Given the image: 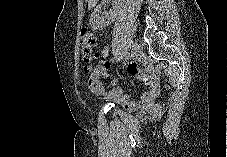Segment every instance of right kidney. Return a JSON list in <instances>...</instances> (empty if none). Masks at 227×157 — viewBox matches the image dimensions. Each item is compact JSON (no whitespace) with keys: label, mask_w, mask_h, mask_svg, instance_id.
Instances as JSON below:
<instances>
[{"label":"right kidney","mask_w":227,"mask_h":157,"mask_svg":"<svg viewBox=\"0 0 227 157\" xmlns=\"http://www.w3.org/2000/svg\"><path fill=\"white\" fill-rule=\"evenodd\" d=\"M99 12H100V9L99 8H96L95 11H94L95 14H97Z\"/></svg>","instance_id":"obj_1"}]
</instances>
